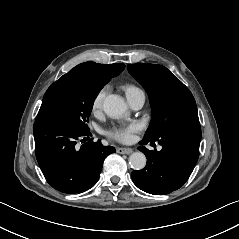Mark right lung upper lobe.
<instances>
[{
	"mask_svg": "<svg viewBox=\"0 0 239 239\" xmlns=\"http://www.w3.org/2000/svg\"><path fill=\"white\" fill-rule=\"evenodd\" d=\"M124 68V64L103 65L95 62H85L74 67L72 72L82 77H98L109 82L111 78L119 75Z\"/></svg>",
	"mask_w": 239,
	"mask_h": 239,
	"instance_id": "obj_1",
	"label": "right lung upper lobe"
}]
</instances>
